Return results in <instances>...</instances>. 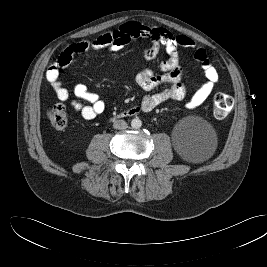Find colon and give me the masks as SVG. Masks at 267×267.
Listing matches in <instances>:
<instances>
[{
    "label": "colon",
    "mask_w": 267,
    "mask_h": 267,
    "mask_svg": "<svg viewBox=\"0 0 267 267\" xmlns=\"http://www.w3.org/2000/svg\"><path fill=\"white\" fill-rule=\"evenodd\" d=\"M233 98L226 93H218L213 100V115L216 119H225L233 109ZM50 124L56 129H63L67 126L68 115L62 104H55L47 113Z\"/></svg>",
    "instance_id": "obj_1"
}]
</instances>
